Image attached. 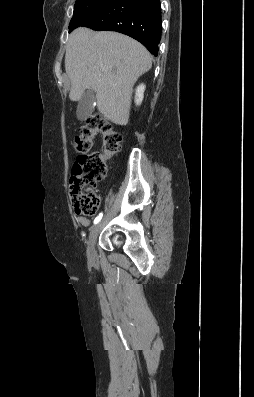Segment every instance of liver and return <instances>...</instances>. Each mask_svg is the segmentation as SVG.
I'll return each instance as SVG.
<instances>
[{"label": "liver", "instance_id": "liver-1", "mask_svg": "<svg viewBox=\"0 0 254 397\" xmlns=\"http://www.w3.org/2000/svg\"><path fill=\"white\" fill-rule=\"evenodd\" d=\"M151 67L147 49L126 35L80 27L69 36L65 70L70 99L94 91L98 111L115 124L128 123L133 86Z\"/></svg>", "mask_w": 254, "mask_h": 397}]
</instances>
